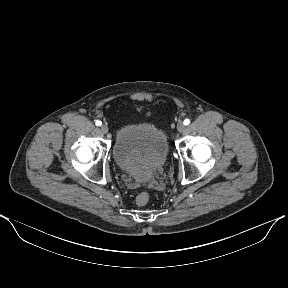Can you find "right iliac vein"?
<instances>
[{
  "label": "right iliac vein",
  "instance_id": "1",
  "mask_svg": "<svg viewBox=\"0 0 288 288\" xmlns=\"http://www.w3.org/2000/svg\"><path fill=\"white\" fill-rule=\"evenodd\" d=\"M100 129L103 134H107L109 131V128L106 124H103Z\"/></svg>",
  "mask_w": 288,
  "mask_h": 288
}]
</instances>
